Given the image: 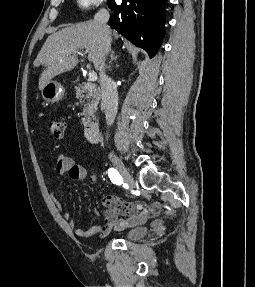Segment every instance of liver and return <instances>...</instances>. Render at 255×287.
I'll return each instance as SVG.
<instances>
[{"label":"liver","mask_w":255,"mask_h":287,"mask_svg":"<svg viewBox=\"0 0 255 287\" xmlns=\"http://www.w3.org/2000/svg\"><path fill=\"white\" fill-rule=\"evenodd\" d=\"M112 36L116 40L119 38L117 32H113ZM80 50H87L89 62H93L95 70H99L105 56L104 34L94 20L82 24H67V28L48 36L34 62L37 68L44 66L39 78V90L55 76L73 70L79 62L74 52Z\"/></svg>","instance_id":"obj_1"}]
</instances>
